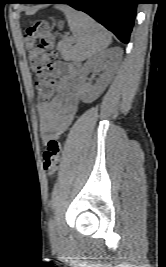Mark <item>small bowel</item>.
Here are the masks:
<instances>
[{"label": "small bowel", "instance_id": "obj_1", "mask_svg": "<svg viewBox=\"0 0 166 267\" xmlns=\"http://www.w3.org/2000/svg\"><path fill=\"white\" fill-rule=\"evenodd\" d=\"M55 69L61 75L58 94L39 107L41 138L44 143L66 130L74 119L79 102L75 87L78 67L57 62Z\"/></svg>", "mask_w": 166, "mask_h": 267}]
</instances>
